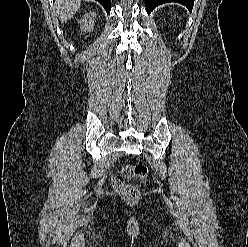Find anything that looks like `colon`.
Segmentation results:
<instances>
[{"instance_id":"obj_1","label":"colon","mask_w":248,"mask_h":247,"mask_svg":"<svg viewBox=\"0 0 248 247\" xmlns=\"http://www.w3.org/2000/svg\"><path fill=\"white\" fill-rule=\"evenodd\" d=\"M148 176V169L142 164H127L125 165L120 175H117L113 180V185L116 191L129 201H136L139 199V189L127 183V180L144 181Z\"/></svg>"}]
</instances>
